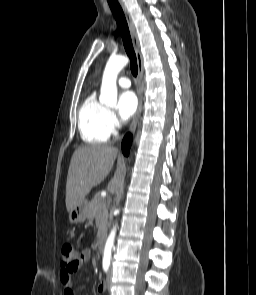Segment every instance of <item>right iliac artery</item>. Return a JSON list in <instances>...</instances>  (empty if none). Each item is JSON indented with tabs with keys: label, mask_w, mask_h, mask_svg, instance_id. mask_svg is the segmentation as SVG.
<instances>
[{
	"label": "right iliac artery",
	"mask_w": 256,
	"mask_h": 295,
	"mask_svg": "<svg viewBox=\"0 0 256 295\" xmlns=\"http://www.w3.org/2000/svg\"><path fill=\"white\" fill-rule=\"evenodd\" d=\"M109 266H110V263H107V262H104L103 263V270H104V272H107L109 270Z\"/></svg>",
	"instance_id": "1"
}]
</instances>
